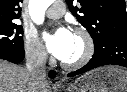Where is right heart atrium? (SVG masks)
<instances>
[{
  "label": "right heart atrium",
  "instance_id": "obj_1",
  "mask_svg": "<svg viewBox=\"0 0 127 92\" xmlns=\"http://www.w3.org/2000/svg\"><path fill=\"white\" fill-rule=\"evenodd\" d=\"M24 46L26 58L31 64L40 66L46 63L47 53L36 35L26 34Z\"/></svg>",
  "mask_w": 127,
  "mask_h": 92
}]
</instances>
